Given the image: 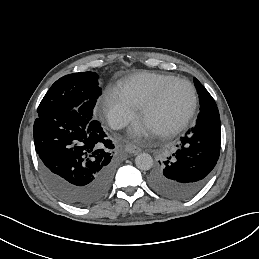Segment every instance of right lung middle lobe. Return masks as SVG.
<instances>
[{"instance_id": "obj_1", "label": "right lung middle lobe", "mask_w": 259, "mask_h": 259, "mask_svg": "<svg viewBox=\"0 0 259 259\" xmlns=\"http://www.w3.org/2000/svg\"><path fill=\"white\" fill-rule=\"evenodd\" d=\"M95 72L73 73L61 77L48 90L38 106V115L51 111L76 110L88 120L95 119L93 109L101 88Z\"/></svg>"}]
</instances>
